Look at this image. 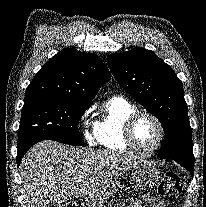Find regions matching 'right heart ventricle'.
Returning <instances> with one entry per match:
<instances>
[{"mask_svg":"<svg viewBox=\"0 0 206 207\" xmlns=\"http://www.w3.org/2000/svg\"><path fill=\"white\" fill-rule=\"evenodd\" d=\"M137 108L123 97L115 96L103 106L102 115L96 124V140L109 152L125 153L129 149L123 141L125 121Z\"/></svg>","mask_w":206,"mask_h":207,"instance_id":"obj_1","label":"right heart ventricle"}]
</instances>
